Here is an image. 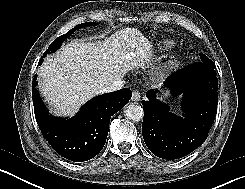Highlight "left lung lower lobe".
Segmentation results:
<instances>
[{"label":"left lung lower lobe","instance_id":"1","mask_svg":"<svg viewBox=\"0 0 245 189\" xmlns=\"http://www.w3.org/2000/svg\"><path fill=\"white\" fill-rule=\"evenodd\" d=\"M164 87L173 95L183 93V117L156 99L158 90H149L148 100L142 101V134L154 155L173 160L188 155L206 140L216 116L218 79L215 68L197 62L169 76Z\"/></svg>","mask_w":245,"mask_h":189}]
</instances>
